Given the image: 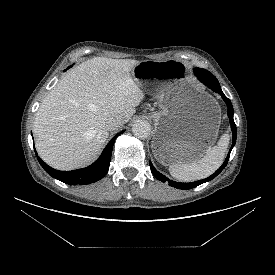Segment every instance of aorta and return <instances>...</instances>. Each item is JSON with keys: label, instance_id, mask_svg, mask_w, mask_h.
<instances>
[{"label": "aorta", "instance_id": "1", "mask_svg": "<svg viewBox=\"0 0 275 275\" xmlns=\"http://www.w3.org/2000/svg\"><path fill=\"white\" fill-rule=\"evenodd\" d=\"M133 134L140 139H146L151 132V125L145 120H137L132 126Z\"/></svg>", "mask_w": 275, "mask_h": 275}]
</instances>
